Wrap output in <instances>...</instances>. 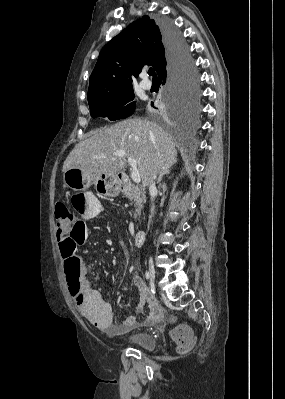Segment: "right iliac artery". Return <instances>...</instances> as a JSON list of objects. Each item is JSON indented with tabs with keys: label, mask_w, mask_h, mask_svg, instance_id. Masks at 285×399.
I'll return each instance as SVG.
<instances>
[{
	"label": "right iliac artery",
	"mask_w": 285,
	"mask_h": 399,
	"mask_svg": "<svg viewBox=\"0 0 285 399\" xmlns=\"http://www.w3.org/2000/svg\"><path fill=\"white\" fill-rule=\"evenodd\" d=\"M146 279L148 280L149 279V272L148 271H146Z\"/></svg>",
	"instance_id": "obj_1"
}]
</instances>
